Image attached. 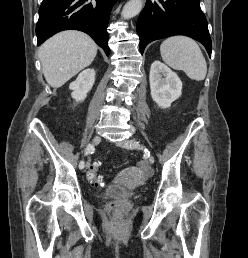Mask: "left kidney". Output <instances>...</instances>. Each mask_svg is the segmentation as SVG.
<instances>
[{"instance_id":"1","label":"left kidney","mask_w":248,"mask_h":258,"mask_svg":"<svg viewBox=\"0 0 248 258\" xmlns=\"http://www.w3.org/2000/svg\"><path fill=\"white\" fill-rule=\"evenodd\" d=\"M150 89L153 101L160 108H169L181 96L182 82L167 65L156 60L150 68Z\"/></svg>"}]
</instances>
